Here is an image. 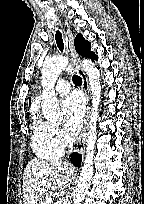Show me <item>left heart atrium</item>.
<instances>
[{
    "label": "left heart atrium",
    "instance_id": "1",
    "mask_svg": "<svg viewBox=\"0 0 144 204\" xmlns=\"http://www.w3.org/2000/svg\"><path fill=\"white\" fill-rule=\"evenodd\" d=\"M64 125L68 133L75 134L82 126L85 106L82 97L71 94L61 104Z\"/></svg>",
    "mask_w": 144,
    "mask_h": 204
}]
</instances>
